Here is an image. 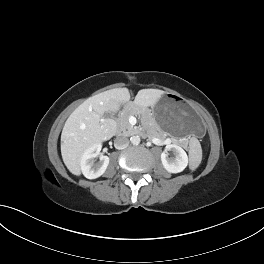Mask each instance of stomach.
<instances>
[{"instance_id":"0dacf381","label":"stomach","mask_w":264,"mask_h":264,"mask_svg":"<svg viewBox=\"0 0 264 264\" xmlns=\"http://www.w3.org/2000/svg\"><path fill=\"white\" fill-rule=\"evenodd\" d=\"M161 130L173 135L201 136L205 125L192 107L177 95H166L151 111Z\"/></svg>"}]
</instances>
